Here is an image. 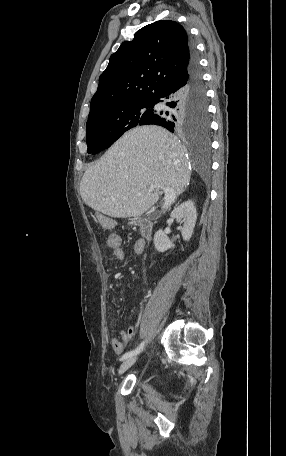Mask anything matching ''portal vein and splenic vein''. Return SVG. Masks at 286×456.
Masks as SVG:
<instances>
[{
  "label": "portal vein and splenic vein",
  "instance_id": "1",
  "mask_svg": "<svg viewBox=\"0 0 286 456\" xmlns=\"http://www.w3.org/2000/svg\"><path fill=\"white\" fill-rule=\"evenodd\" d=\"M154 189H161L165 193V203H164L163 208L169 206L174 201L175 192H174L173 189L166 188V187H164L163 185H161L159 183H154V184L150 185V190H154Z\"/></svg>",
  "mask_w": 286,
  "mask_h": 456
}]
</instances>
